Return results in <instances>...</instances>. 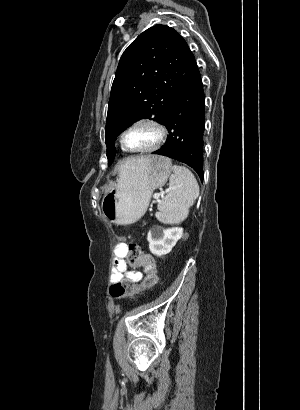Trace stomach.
I'll return each instance as SVG.
<instances>
[{"mask_svg":"<svg viewBox=\"0 0 300 410\" xmlns=\"http://www.w3.org/2000/svg\"><path fill=\"white\" fill-rule=\"evenodd\" d=\"M171 173V160L149 155L134 167L122 166L119 180L101 203L104 216L117 225L137 222L146 212L152 193L162 187Z\"/></svg>","mask_w":300,"mask_h":410,"instance_id":"0dacf381","label":"stomach"}]
</instances>
